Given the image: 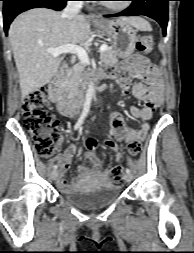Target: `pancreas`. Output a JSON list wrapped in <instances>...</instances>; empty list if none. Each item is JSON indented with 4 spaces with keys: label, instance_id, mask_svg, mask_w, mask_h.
Segmentation results:
<instances>
[{
    "label": "pancreas",
    "instance_id": "pancreas-1",
    "mask_svg": "<svg viewBox=\"0 0 194 253\" xmlns=\"http://www.w3.org/2000/svg\"><path fill=\"white\" fill-rule=\"evenodd\" d=\"M100 59L106 64H115L118 61L116 51L110 47L106 51L101 52ZM85 68L86 64L79 62L68 72L65 88L70 95L78 93L79 88L85 85L86 77L89 75L88 72L84 71Z\"/></svg>",
    "mask_w": 194,
    "mask_h": 253
}]
</instances>
